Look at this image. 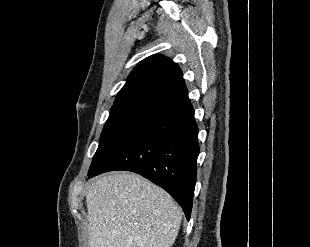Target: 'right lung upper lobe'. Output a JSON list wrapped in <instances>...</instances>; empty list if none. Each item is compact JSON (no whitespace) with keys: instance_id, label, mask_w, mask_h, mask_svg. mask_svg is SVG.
I'll return each instance as SVG.
<instances>
[{"instance_id":"right-lung-upper-lobe-1","label":"right lung upper lobe","mask_w":310,"mask_h":247,"mask_svg":"<svg viewBox=\"0 0 310 247\" xmlns=\"http://www.w3.org/2000/svg\"><path fill=\"white\" fill-rule=\"evenodd\" d=\"M188 98L181 69L163 55L142 60L119 91L111 111L150 107L162 111Z\"/></svg>"}]
</instances>
